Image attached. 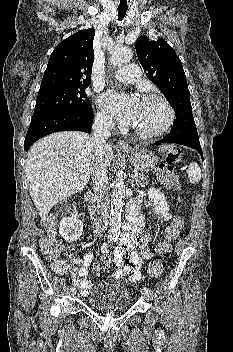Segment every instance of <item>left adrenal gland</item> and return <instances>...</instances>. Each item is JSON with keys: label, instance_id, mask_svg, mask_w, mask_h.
Listing matches in <instances>:
<instances>
[{"label": "left adrenal gland", "instance_id": "1", "mask_svg": "<svg viewBox=\"0 0 233 352\" xmlns=\"http://www.w3.org/2000/svg\"><path fill=\"white\" fill-rule=\"evenodd\" d=\"M131 185L134 187V179L132 178Z\"/></svg>", "mask_w": 233, "mask_h": 352}]
</instances>
